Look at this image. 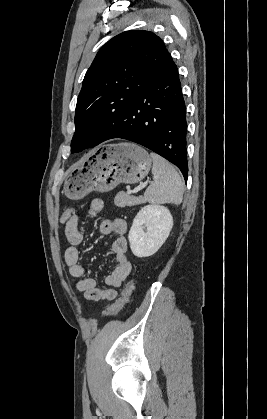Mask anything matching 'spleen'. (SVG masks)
Returning <instances> with one entry per match:
<instances>
[{"mask_svg": "<svg viewBox=\"0 0 267 419\" xmlns=\"http://www.w3.org/2000/svg\"><path fill=\"white\" fill-rule=\"evenodd\" d=\"M153 182L144 193V201L152 204L179 205L183 198V182L176 169L164 158L151 152Z\"/></svg>", "mask_w": 267, "mask_h": 419, "instance_id": "spleen-1", "label": "spleen"}]
</instances>
